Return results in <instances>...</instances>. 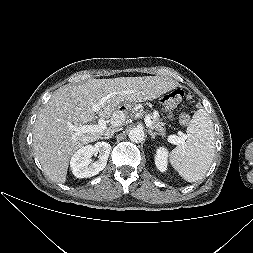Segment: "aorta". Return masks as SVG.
<instances>
[{
  "instance_id": "obj_1",
  "label": "aorta",
  "mask_w": 253,
  "mask_h": 253,
  "mask_svg": "<svg viewBox=\"0 0 253 253\" xmlns=\"http://www.w3.org/2000/svg\"><path fill=\"white\" fill-rule=\"evenodd\" d=\"M129 139L134 143H140L144 140V131L140 128H133L129 132Z\"/></svg>"
}]
</instances>
